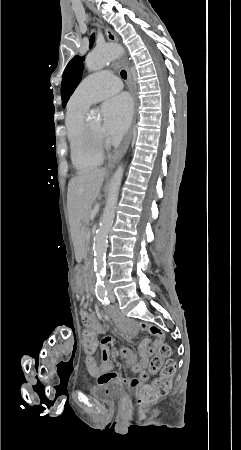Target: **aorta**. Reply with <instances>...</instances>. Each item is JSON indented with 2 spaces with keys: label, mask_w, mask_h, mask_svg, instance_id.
Instances as JSON below:
<instances>
[{
  "label": "aorta",
  "mask_w": 241,
  "mask_h": 450,
  "mask_svg": "<svg viewBox=\"0 0 241 450\" xmlns=\"http://www.w3.org/2000/svg\"><path fill=\"white\" fill-rule=\"evenodd\" d=\"M123 52V48L117 44L109 43L99 46L87 55L85 60L86 68L90 71L100 70L123 54ZM123 173L124 168L120 165L112 176L101 222L94 237V271L98 285L103 283L106 273L108 233L113 225Z\"/></svg>",
  "instance_id": "aorta-1"
}]
</instances>
